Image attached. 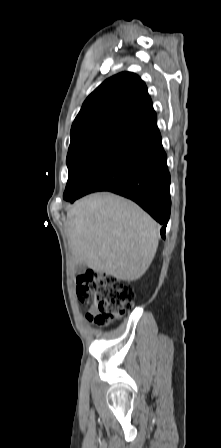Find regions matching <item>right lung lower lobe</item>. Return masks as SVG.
I'll list each match as a JSON object with an SVG mask.
<instances>
[{
  "instance_id": "obj_1",
  "label": "right lung lower lobe",
  "mask_w": 221,
  "mask_h": 448,
  "mask_svg": "<svg viewBox=\"0 0 221 448\" xmlns=\"http://www.w3.org/2000/svg\"><path fill=\"white\" fill-rule=\"evenodd\" d=\"M97 191L135 201L162 225L165 238L171 209L170 174L156 118L117 142L70 202Z\"/></svg>"
}]
</instances>
